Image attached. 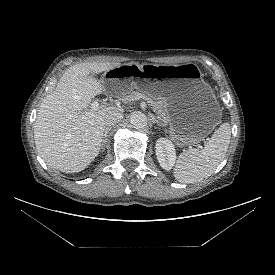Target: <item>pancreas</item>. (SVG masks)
I'll return each instance as SVG.
<instances>
[{
    "mask_svg": "<svg viewBox=\"0 0 275 275\" xmlns=\"http://www.w3.org/2000/svg\"><path fill=\"white\" fill-rule=\"evenodd\" d=\"M137 98H146V95L143 93H140L138 91H132L127 96H124L122 98V101L124 102H131ZM150 106L153 108L154 112L157 114L158 119L163 122H168V115H167V103L164 99L158 98V99H149Z\"/></svg>",
    "mask_w": 275,
    "mask_h": 275,
    "instance_id": "cf45deb5",
    "label": "pancreas"
}]
</instances>
